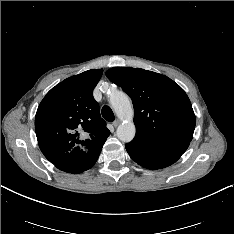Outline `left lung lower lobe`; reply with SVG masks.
<instances>
[{
  "label": "left lung lower lobe",
  "instance_id": "left-lung-lower-lobe-1",
  "mask_svg": "<svg viewBox=\"0 0 234 234\" xmlns=\"http://www.w3.org/2000/svg\"><path fill=\"white\" fill-rule=\"evenodd\" d=\"M186 141H139L125 145L130 157L148 169H161L176 162L186 151Z\"/></svg>",
  "mask_w": 234,
  "mask_h": 234
}]
</instances>
